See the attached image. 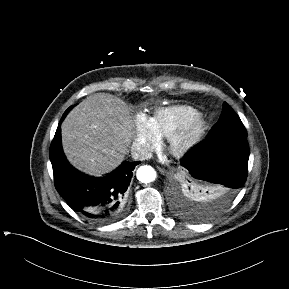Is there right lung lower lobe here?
<instances>
[{"instance_id":"1","label":"right lung lower lobe","mask_w":289,"mask_h":289,"mask_svg":"<svg viewBox=\"0 0 289 289\" xmlns=\"http://www.w3.org/2000/svg\"><path fill=\"white\" fill-rule=\"evenodd\" d=\"M49 157L58 193L87 221L105 224L125 215L128 186L132 171L139 162L125 161L104 177L85 175L73 168L65 158L61 146L60 126L50 146Z\"/></svg>"}]
</instances>
